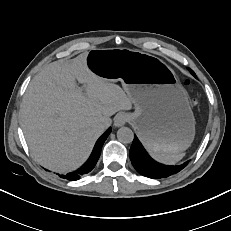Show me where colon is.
Segmentation results:
<instances>
[{
    "label": "colon",
    "instance_id": "1",
    "mask_svg": "<svg viewBox=\"0 0 231 231\" xmlns=\"http://www.w3.org/2000/svg\"><path fill=\"white\" fill-rule=\"evenodd\" d=\"M192 103H193V104H196V103H197V99H195V98L192 99Z\"/></svg>",
    "mask_w": 231,
    "mask_h": 231
}]
</instances>
